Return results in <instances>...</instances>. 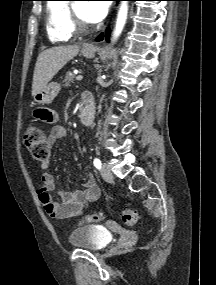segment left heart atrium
Masks as SVG:
<instances>
[{
	"instance_id": "left-heart-atrium-1",
	"label": "left heart atrium",
	"mask_w": 216,
	"mask_h": 285,
	"mask_svg": "<svg viewBox=\"0 0 216 285\" xmlns=\"http://www.w3.org/2000/svg\"><path fill=\"white\" fill-rule=\"evenodd\" d=\"M109 8L108 1H90L85 4L84 16L87 22L97 23L107 14Z\"/></svg>"
}]
</instances>
